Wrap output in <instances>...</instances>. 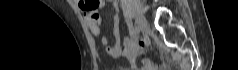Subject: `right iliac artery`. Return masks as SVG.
<instances>
[{"label":"right iliac artery","instance_id":"1","mask_svg":"<svg viewBox=\"0 0 238 70\" xmlns=\"http://www.w3.org/2000/svg\"><path fill=\"white\" fill-rule=\"evenodd\" d=\"M132 32H133V33L139 32L138 26H134V27L132 28Z\"/></svg>","mask_w":238,"mask_h":70}]
</instances>
